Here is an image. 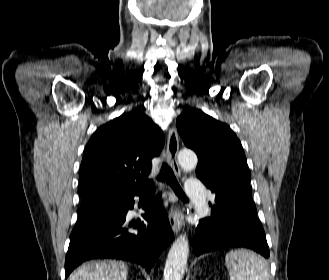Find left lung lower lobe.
I'll use <instances>...</instances> for the list:
<instances>
[{
  "instance_id": "left-lung-lower-lobe-1",
  "label": "left lung lower lobe",
  "mask_w": 329,
  "mask_h": 280,
  "mask_svg": "<svg viewBox=\"0 0 329 280\" xmlns=\"http://www.w3.org/2000/svg\"><path fill=\"white\" fill-rule=\"evenodd\" d=\"M226 247H246L269 257L266 236L248 191L223 201L217 199L211 216L199 221L193 244L195 255Z\"/></svg>"
}]
</instances>
